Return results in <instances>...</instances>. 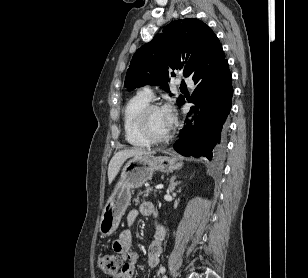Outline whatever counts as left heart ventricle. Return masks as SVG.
<instances>
[{
    "instance_id": "left-heart-ventricle-1",
    "label": "left heart ventricle",
    "mask_w": 308,
    "mask_h": 278,
    "mask_svg": "<svg viewBox=\"0 0 308 278\" xmlns=\"http://www.w3.org/2000/svg\"><path fill=\"white\" fill-rule=\"evenodd\" d=\"M149 127L153 134L156 136L165 135L169 128L167 127L165 120L162 115L161 109L154 110L148 117Z\"/></svg>"
}]
</instances>
